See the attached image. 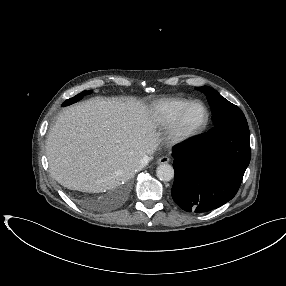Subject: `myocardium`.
Here are the masks:
<instances>
[{
  "label": "myocardium",
  "mask_w": 286,
  "mask_h": 286,
  "mask_svg": "<svg viewBox=\"0 0 286 286\" xmlns=\"http://www.w3.org/2000/svg\"><path fill=\"white\" fill-rule=\"evenodd\" d=\"M196 105H201L204 108L205 119L200 126L192 129H187L185 127L187 115ZM209 121L210 112L208 107L201 101H192L187 105L179 117L170 125L167 133V138L169 142L174 145L187 143L202 134L206 130Z\"/></svg>",
  "instance_id": "f54148a6"
}]
</instances>
